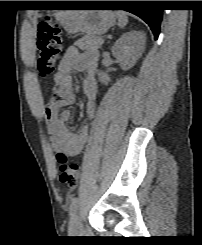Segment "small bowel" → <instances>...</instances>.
I'll return each instance as SVG.
<instances>
[{"mask_svg":"<svg viewBox=\"0 0 202 245\" xmlns=\"http://www.w3.org/2000/svg\"><path fill=\"white\" fill-rule=\"evenodd\" d=\"M97 57L80 51L77 47H69L59 63L58 72L54 75V97L45 106V118L51 134V147L56 154L65 153L67 156L79 155L87 141V126L77 132L69 129L71 118L69 110L63 107L75 102L72 86V72H84L82 92L86 97V118H92L98 95L95 78Z\"/></svg>","mask_w":202,"mask_h":245,"instance_id":"obj_1","label":"small bowel"}]
</instances>
